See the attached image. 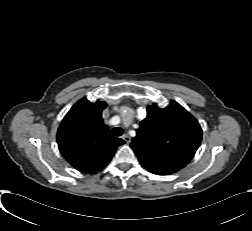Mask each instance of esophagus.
<instances>
[{"instance_id":"34e87169","label":"esophagus","mask_w":252,"mask_h":231,"mask_svg":"<svg viewBox=\"0 0 252 231\" xmlns=\"http://www.w3.org/2000/svg\"><path fill=\"white\" fill-rule=\"evenodd\" d=\"M122 138H123V140L126 143H130L131 142V138L127 134L122 135Z\"/></svg>"}]
</instances>
